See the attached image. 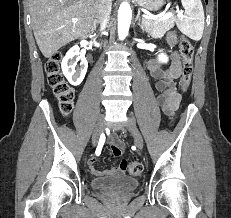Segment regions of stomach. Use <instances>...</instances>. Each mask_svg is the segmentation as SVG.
Instances as JSON below:
<instances>
[{
	"label": "stomach",
	"mask_w": 231,
	"mask_h": 218,
	"mask_svg": "<svg viewBox=\"0 0 231 218\" xmlns=\"http://www.w3.org/2000/svg\"><path fill=\"white\" fill-rule=\"evenodd\" d=\"M135 2L151 12L158 11L165 4V0H135Z\"/></svg>",
	"instance_id": "stomach-1"
}]
</instances>
